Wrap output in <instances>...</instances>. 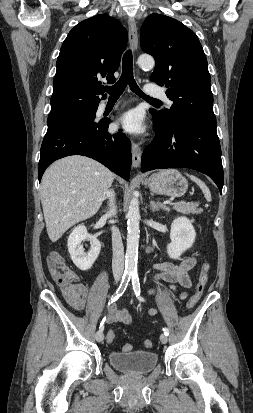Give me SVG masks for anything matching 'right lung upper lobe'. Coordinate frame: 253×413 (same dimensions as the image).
<instances>
[{
	"instance_id": "right-lung-upper-lobe-1",
	"label": "right lung upper lobe",
	"mask_w": 253,
	"mask_h": 413,
	"mask_svg": "<svg viewBox=\"0 0 253 413\" xmlns=\"http://www.w3.org/2000/svg\"><path fill=\"white\" fill-rule=\"evenodd\" d=\"M126 45L127 31L106 14L76 25L60 49L48 117L98 107L103 94L99 79L116 81L114 72Z\"/></svg>"
}]
</instances>
